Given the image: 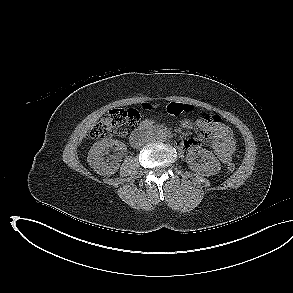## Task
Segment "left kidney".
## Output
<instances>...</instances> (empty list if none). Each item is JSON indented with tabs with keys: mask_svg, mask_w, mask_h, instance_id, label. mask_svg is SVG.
I'll return each instance as SVG.
<instances>
[{
	"mask_svg": "<svg viewBox=\"0 0 293 293\" xmlns=\"http://www.w3.org/2000/svg\"><path fill=\"white\" fill-rule=\"evenodd\" d=\"M198 156L204 158V163L196 161ZM186 161L191 170L201 173L204 176L215 175L221 170L220 162L214 154L201 147L191 148L187 153Z\"/></svg>",
	"mask_w": 293,
	"mask_h": 293,
	"instance_id": "5707ae66",
	"label": "left kidney"
}]
</instances>
